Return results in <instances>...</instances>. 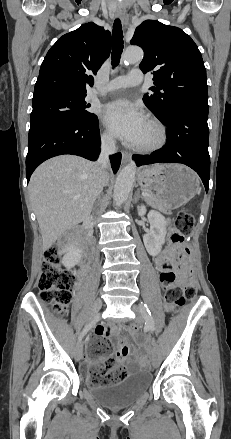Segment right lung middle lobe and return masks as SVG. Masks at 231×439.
Returning <instances> with one entry per match:
<instances>
[{"label": "right lung middle lobe", "mask_w": 231, "mask_h": 439, "mask_svg": "<svg viewBox=\"0 0 231 439\" xmlns=\"http://www.w3.org/2000/svg\"><path fill=\"white\" fill-rule=\"evenodd\" d=\"M85 97L86 95L80 94L50 93L33 98L30 128L60 118H97L87 110L90 104L86 103Z\"/></svg>", "instance_id": "right-lung-middle-lobe-1"}]
</instances>
